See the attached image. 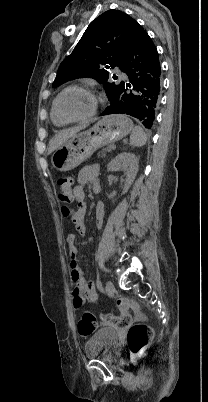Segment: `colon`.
<instances>
[{"label": "colon", "instance_id": "colon-1", "mask_svg": "<svg viewBox=\"0 0 208 402\" xmlns=\"http://www.w3.org/2000/svg\"><path fill=\"white\" fill-rule=\"evenodd\" d=\"M58 197L64 204L62 214L64 217L70 218L72 210L69 205L72 204L74 198V183L72 177H59L57 179ZM82 301L79 299V304ZM118 304L120 313H107L96 315L86 311L82 314L78 322V332L82 337H89L97 328L99 323L104 325H113L120 328L128 327V343L129 349L133 355L141 351L148 342L149 338H153L152 324H133L131 310H136L135 305L131 303L130 297H119Z\"/></svg>", "mask_w": 208, "mask_h": 402}]
</instances>
